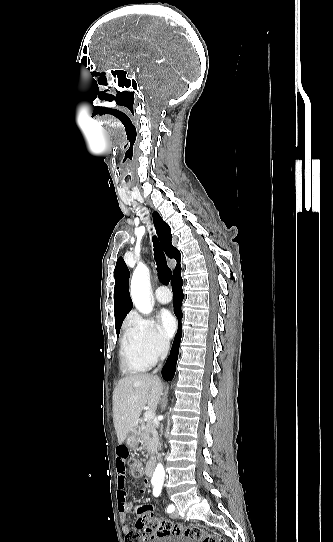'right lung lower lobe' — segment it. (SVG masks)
<instances>
[{"mask_svg":"<svg viewBox=\"0 0 333 542\" xmlns=\"http://www.w3.org/2000/svg\"><path fill=\"white\" fill-rule=\"evenodd\" d=\"M180 258H181L180 254L177 258H175L177 261V265H176V269L173 271V276L171 280V284L173 287V295H174V313L176 317L178 318L179 329L175 336L170 355L167 358L166 363L162 369V376L164 380L166 381H171L172 378L174 377L178 353H179L180 340L182 336V327H181L180 322L182 319L181 304L183 300V292H182L183 281H182L181 273H180V270H181Z\"/></svg>","mask_w":333,"mask_h":542,"instance_id":"1","label":"right lung lower lobe"}]
</instances>
